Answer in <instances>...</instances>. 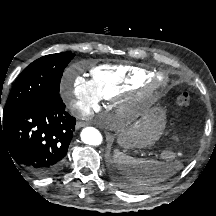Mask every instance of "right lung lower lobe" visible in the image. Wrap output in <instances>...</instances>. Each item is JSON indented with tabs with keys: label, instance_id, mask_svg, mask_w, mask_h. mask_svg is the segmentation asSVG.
Segmentation results:
<instances>
[{
	"label": "right lung lower lobe",
	"instance_id": "98d812e1",
	"mask_svg": "<svg viewBox=\"0 0 216 216\" xmlns=\"http://www.w3.org/2000/svg\"><path fill=\"white\" fill-rule=\"evenodd\" d=\"M75 121L60 96L4 115L0 117V154L36 177L53 176L65 162Z\"/></svg>",
	"mask_w": 216,
	"mask_h": 216
}]
</instances>
